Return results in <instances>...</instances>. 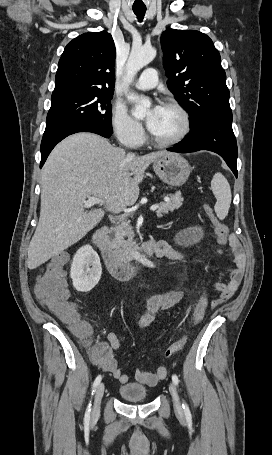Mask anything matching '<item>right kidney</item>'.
<instances>
[{
  "label": "right kidney",
  "mask_w": 272,
  "mask_h": 455,
  "mask_svg": "<svg viewBox=\"0 0 272 455\" xmlns=\"http://www.w3.org/2000/svg\"><path fill=\"white\" fill-rule=\"evenodd\" d=\"M102 267L98 254L90 245L79 248L73 257L70 276L77 291L89 292L99 282Z\"/></svg>",
  "instance_id": "1"
}]
</instances>
